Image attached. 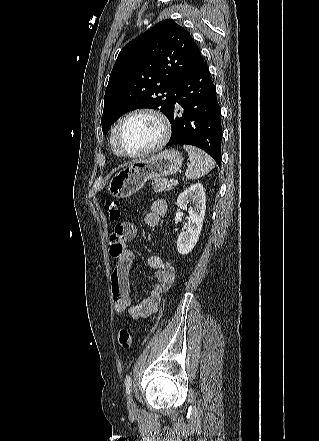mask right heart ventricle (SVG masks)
Returning a JSON list of instances; mask_svg holds the SVG:
<instances>
[{
  "label": "right heart ventricle",
  "mask_w": 319,
  "mask_h": 441,
  "mask_svg": "<svg viewBox=\"0 0 319 441\" xmlns=\"http://www.w3.org/2000/svg\"><path fill=\"white\" fill-rule=\"evenodd\" d=\"M113 133H114V130L112 131V133H111V137H110V145H111L112 151H113L114 154H116L117 156H121V155L118 153V151L116 150V148H115V145H114V138H113Z\"/></svg>",
  "instance_id": "1"
}]
</instances>
